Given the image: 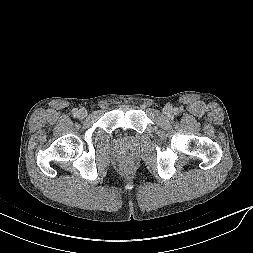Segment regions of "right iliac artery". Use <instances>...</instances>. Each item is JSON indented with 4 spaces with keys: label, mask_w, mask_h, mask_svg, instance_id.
I'll list each match as a JSON object with an SVG mask.
<instances>
[{
    "label": "right iliac artery",
    "mask_w": 253,
    "mask_h": 253,
    "mask_svg": "<svg viewBox=\"0 0 253 253\" xmlns=\"http://www.w3.org/2000/svg\"><path fill=\"white\" fill-rule=\"evenodd\" d=\"M77 113H78V111L75 109V110H73V114H74V116H76L77 115Z\"/></svg>",
    "instance_id": "1"
}]
</instances>
